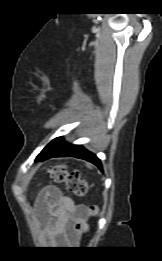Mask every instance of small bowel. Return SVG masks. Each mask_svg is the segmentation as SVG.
I'll list each match as a JSON object with an SVG mask.
<instances>
[{"mask_svg":"<svg viewBox=\"0 0 162 261\" xmlns=\"http://www.w3.org/2000/svg\"><path fill=\"white\" fill-rule=\"evenodd\" d=\"M86 215L84 205L73 201L54 186L45 187L39 197L38 216L58 244H69L76 236V225Z\"/></svg>","mask_w":162,"mask_h":261,"instance_id":"obj_1","label":"small bowel"}]
</instances>
